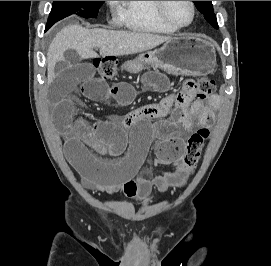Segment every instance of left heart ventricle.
<instances>
[{
	"label": "left heart ventricle",
	"instance_id": "left-heart-ventricle-1",
	"mask_svg": "<svg viewBox=\"0 0 271 266\" xmlns=\"http://www.w3.org/2000/svg\"><path fill=\"white\" fill-rule=\"evenodd\" d=\"M166 10L177 24L185 25L191 19L192 10L188 1H167Z\"/></svg>",
	"mask_w": 271,
	"mask_h": 266
}]
</instances>
